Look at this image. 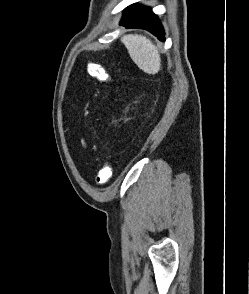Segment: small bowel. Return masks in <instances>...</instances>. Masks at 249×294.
<instances>
[{
	"instance_id": "small-bowel-1",
	"label": "small bowel",
	"mask_w": 249,
	"mask_h": 294,
	"mask_svg": "<svg viewBox=\"0 0 249 294\" xmlns=\"http://www.w3.org/2000/svg\"><path fill=\"white\" fill-rule=\"evenodd\" d=\"M78 142H79L80 146L83 148V150H85L86 149V143H85L84 139H79Z\"/></svg>"
}]
</instances>
